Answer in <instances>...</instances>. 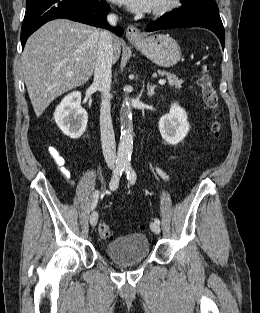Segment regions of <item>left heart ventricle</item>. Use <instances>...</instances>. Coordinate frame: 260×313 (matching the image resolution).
<instances>
[{"label": "left heart ventricle", "instance_id": "left-heart-ventricle-1", "mask_svg": "<svg viewBox=\"0 0 260 313\" xmlns=\"http://www.w3.org/2000/svg\"><path fill=\"white\" fill-rule=\"evenodd\" d=\"M164 0H154L153 7L159 5Z\"/></svg>", "mask_w": 260, "mask_h": 313}]
</instances>
